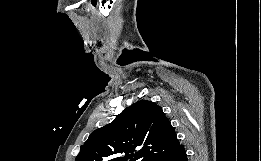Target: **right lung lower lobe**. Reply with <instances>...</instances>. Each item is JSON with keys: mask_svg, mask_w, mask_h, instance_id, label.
Wrapping results in <instances>:
<instances>
[{"mask_svg": "<svg viewBox=\"0 0 261 161\" xmlns=\"http://www.w3.org/2000/svg\"><path fill=\"white\" fill-rule=\"evenodd\" d=\"M148 161H188L183 145L152 156Z\"/></svg>", "mask_w": 261, "mask_h": 161, "instance_id": "right-lung-lower-lobe-1", "label": "right lung lower lobe"}]
</instances>
